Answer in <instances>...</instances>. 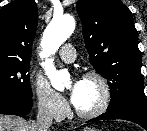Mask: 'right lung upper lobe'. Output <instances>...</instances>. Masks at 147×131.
<instances>
[{
	"instance_id": "cb5924a9",
	"label": "right lung upper lobe",
	"mask_w": 147,
	"mask_h": 131,
	"mask_svg": "<svg viewBox=\"0 0 147 131\" xmlns=\"http://www.w3.org/2000/svg\"><path fill=\"white\" fill-rule=\"evenodd\" d=\"M38 23L34 0H16L0 9V59L30 61Z\"/></svg>"
}]
</instances>
